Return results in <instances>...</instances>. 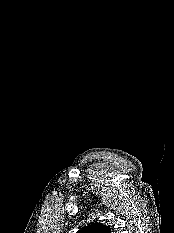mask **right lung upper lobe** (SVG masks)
<instances>
[{
  "label": "right lung upper lobe",
  "mask_w": 174,
  "mask_h": 233,
  "mask_svg": "<svg viewBox=\"0 0 174 233\" xmlns=\"http://www.w3.org/2000/svg\"><path fill=\"white\" fill-rule=\"evenodd\" d=\"M77 233H111V228L110 226L103 225L100 222H95L85 226Z\"/></svg>",
  "instance_id": "obj_1"
}]
</instances>
